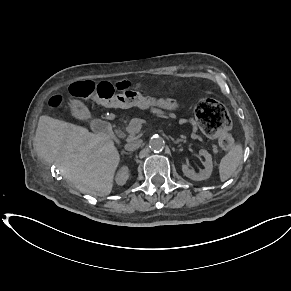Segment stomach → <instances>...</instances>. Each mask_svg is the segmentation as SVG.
<instances>
[{
  "label": "stomach",
  "mask_w": 291,
  "mask_h": 291,
  "mask_svg": "<svg viewBox=\"0 0 291 291\" xmlns=\"http://www.w3.org/2000/svg\"><path fill=\"white\" fill-rule=\"evenodd\" d=\"M71 109L77 116H83L86 112L85 106L78 100L71 101Z\"/></svg>",
  "instance_id": "obj_1"
}]
</instances>
